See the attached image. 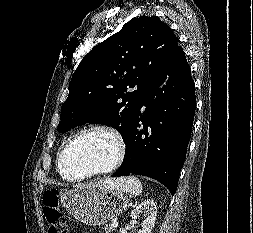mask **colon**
I'll return each instance as SVG.
<instances>
[{"instance_id":"obj_1","label":"colon","mask_w":253,"mask_h":233,"mask_svg":"<svg viewBox=\"0 0 253 233\" xmlns=\"http://www.w3.org/2000/svg\"><path fill=\"white\" fill-rule=\"evenodd\" d=\"M43 213L48 233H67L65 217L60 209L58 191L49 189L43 194Z\"/></svg>"}]
</instances>
